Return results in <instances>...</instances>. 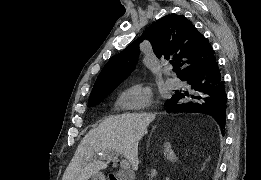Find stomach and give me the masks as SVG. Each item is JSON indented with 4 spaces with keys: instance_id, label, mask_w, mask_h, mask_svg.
Listing matches in <instances>:
<instances>
[{
    "instance_id": "1",
    "label": "stomach",
    "mask_w": 261,
    "mask_h": 180,
    "mask_svg": "<svg viewBox=\"0 0 261 180\" xmlns=\"http://www.w3.org/2000/svg\"><path fill=\"white\" fill-rule=\"evenodd\" d=\"M90 180H106L104 174H102L101 172H97L94 175H92Z\"/></svg>"
}]
</instances>
